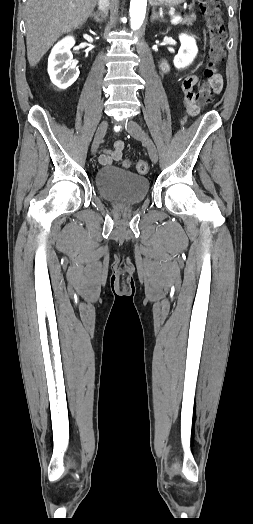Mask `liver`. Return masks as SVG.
Wrapping results in <instances>:
<instances>
[{
	"instance_id": "obj_1",
	"label": "liver",
	"mask_w": 253,
	"mask_h": 524,
	"mask_svg": "<svg viewBox=\"0 0 253 524\" xmlns=\"http://www.w3.org/2000/svg\"><path fill=\"white\" fill-rule=\"evenodd\" d=\"M98 0H27V58L35 67L57 39L80 28Z\"/></svg>"
}]
</instances>
